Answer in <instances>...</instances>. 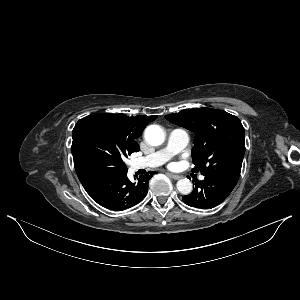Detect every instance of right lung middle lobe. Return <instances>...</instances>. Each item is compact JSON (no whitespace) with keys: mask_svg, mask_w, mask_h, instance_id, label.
<instances>
[{"mask_svg":"<svg viewBox=\"0 0 300 300\" xmlns=\"http://www.w3.org/2000/svg\"><path fill=\"white\" fill-rule=\"evenodd\" d=\"M71 151L78 178L100 172L127 173L124 159L133 152L103 125L97 115L79 120L72 131Z\"/></svg>","mask_w":300,"mask_h":300,"instance_id":"right-lung-middle-lobe-1","label":"right lung middle lobe"}]
</instances>
